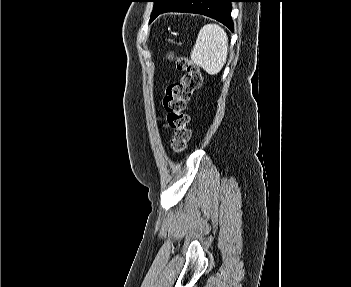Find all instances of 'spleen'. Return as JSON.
Instances as JSON below:
<instances>
[{"label":"spleen","mask_w":351,"mask_h":287,"mask_svg":"<svg viewBox=\"0 0 351 287\" xmlns=\"http://www.w3.org/2000/svg\"><path fill=\"white\" fill-rule=\"evenodd\" d=\"M228 55V37L217 24L204 25L191 51V62L200 66L210 75L221 71Z\"/></svg>","instance_id":"3e777b00"}]
</instances>
